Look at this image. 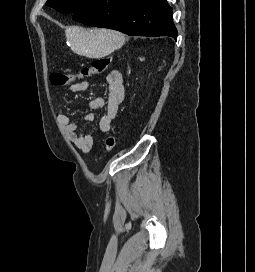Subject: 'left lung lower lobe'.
<instances>
[{
    "instance_id": "obj_1",
    "label": "left lung lower lobe",
    "mask_w": 255,
    "mask_h": 272,
    "mask_svg": "<svg viewBox=\"0 0 255 272\" xmlns=\"http://www.w3.org/2000/svg\"><path fill=\"white\" fill-rule=\"evenodd\" d=\"M73 20L128 35L177 39L172 8L166 0H92L74 12Z\"/></svg>"
}]
</instances>
